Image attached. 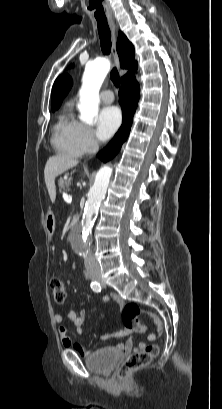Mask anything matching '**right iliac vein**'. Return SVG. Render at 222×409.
I'll use <instances>...</instances> for the list:
<instances>
[{"label": "right iliac vein", "instance_id": "obj_1", "mask_svg": "<svg viewBox=\"0 0 222 409\" xmlns=\"http://www.w3.org/2000/svg\"><path fill=\"white\" fill-rule=\"evenodd\" d=\"M94 279H96V280H100L99 278H97V277H94Z\"/></svg>", "mask_w": 222, "mask_h": 409}]
</instances>
